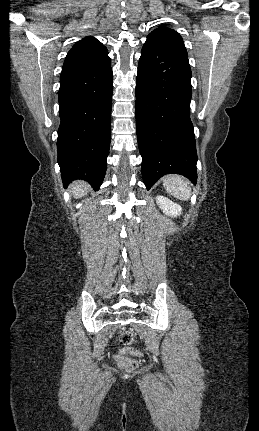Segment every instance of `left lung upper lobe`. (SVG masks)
Returning <instances> with one entry per match:
<instances>
[{"instance_id": "left-lung-upper-lobe-1", "label": "left lung upper lobe", "mask_w": 259, "mask_h": 431, "mask_svg": "<svg viewBox=\"0 0 259 431\" xmlns=\"http://www.w3.org/2000/svg\"><path fill=\"white\" fill-rule=\"evenodd\" d=\"M147 40L176 52L180 55L187 57V51L184 42L175 30L161 26L153 30L148 36ZM188 58V57H187Z\"/></svg>"}]
</instances>
